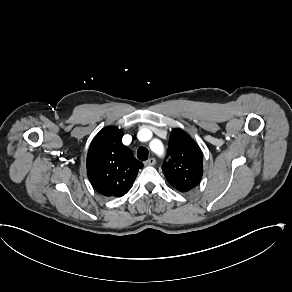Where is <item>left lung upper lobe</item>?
I'll use <instances>...</instances> for the list:
<instances>
[{
  "instance_id": "5c2ea615",
  "label": "left lung upper lobe",
  "mask_w": 292,
  "mask_h": 292,
  "mask_svg": "<svg viewBox=\"0 0 292 292\" xmlns=\"http://www.w3.org/2000/svg\"><path fill=\"white\" fill-rule=\"evenodd\" d=\"M163 173L169 184L180 192L196 187L203 175V157L198 144L182 129L172 130Z\"/></svg>"
}]
</instances>
